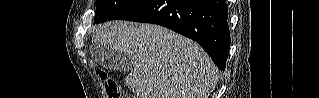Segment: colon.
Masks as SVG:
<instances>
[{
	"label": "colon",
	"mask_w": 319,
	"mask_h": 98,
	"mask_svg": "<svg viewBox=\"0 0 319 98\" xmlns=\"http://www.w3.org/2000/svg\"><path fill=\"white\" fill-rule=\"evenodd\" d=\"M100 76L104 83L107 98H129L117 81L107 77L104 73H101Z\"/></svg>",
	"instance_id": "1"
}]
</instances>
